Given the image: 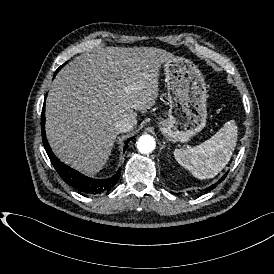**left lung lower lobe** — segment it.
<instances>
[{
	"label": "left lung lower lobe",
	"mask_w": 274,
	"mask_h": 274,
	"mask_svg": "<svg viewBox=\"0 0 274 274\" xmlns=\"http://www.w3.org/2000/svg\"><path fill=\"white\" fill-rule=\"evenodd\" d=\"M227 174H228V172L221 179L224 180V178L226 177ZM218 183H220V182H218ZM214 188H215V185H211L210 187L206 188V191H210Z\"/></svg>",
	"instance_id": "1"
}]
</instances>
